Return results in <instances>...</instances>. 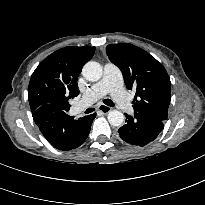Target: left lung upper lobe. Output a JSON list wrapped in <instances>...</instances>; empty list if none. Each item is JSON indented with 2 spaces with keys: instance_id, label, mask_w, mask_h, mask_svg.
Wrapping results in <instances>:
<instances>
[{
  "instance_id": "left-lung-upper-lobe-1",
  "label": "left lung upper lobe",
  "mask_w": 205,
  "mask_h": 205,
  "mask_svg": "<svg viewBox=\"0 0 205 205\" xmlns=\"http://www.w3.org/2000/svg\"><path fill=\"white\" fill-rule=\"evenodd\" d=\"M107 55L123 73L128 89L136 90L132 101L136 114L165 121L171 97V82L165 68L143 49L128 43L111 44Z\"/></svg>"
}]
</instances>
